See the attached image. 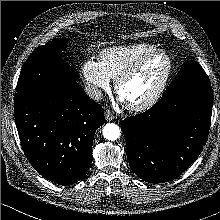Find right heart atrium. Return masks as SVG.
<instances>
[{
    "mask_svg": "<svg viewBox=\"0 0 220 220\" xmlns=\"http://www.w3.org/2000/svg\"><path fill=\"white\" fill-rule=\"evenodd\" d=\"M81 75L91 97L98 99L103 91L110 87V77L106 74L99 61L89 58L81 67Z\"/></svg>",
    "mask_w": 220,
    "mask_h": 220,
    "instance_id": "1",
    "label": "right heart atrium"
}]
</instances>
